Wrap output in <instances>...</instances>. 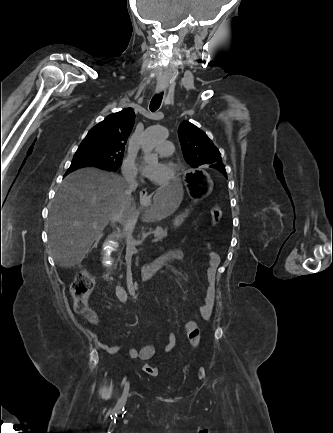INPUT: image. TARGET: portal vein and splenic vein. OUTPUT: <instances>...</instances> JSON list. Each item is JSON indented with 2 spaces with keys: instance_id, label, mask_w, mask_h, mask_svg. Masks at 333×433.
<instances>
[{
  "instance_id": "18ae733b",
  "label": "portal vein and splenic vein",
  "mask_w": 333,
  "mask_h": 433,
  "mask_svg": "<svg viewBox=\"0 0 333 433\" xmlns=\"http://www.w3.org/2000/svg\"><path fill=\"white\" fill-rule=\"evenodd\" d=\"M157 241H158V238L155 236L153 242H157Z\"/></svg>"
}]
</instances>
